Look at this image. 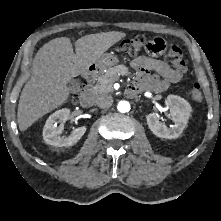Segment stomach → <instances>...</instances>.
<instances>
[{"instance_id": "obj_1", "label": "stomach", "mask_w": 221, "mask_h": 221, "mask_svg": "<svg viewBox=\"0 0 221 221\" xmlns=\"http://www.w3.org/2000/svg\"><path fill=\"white\" fill-rule=\"evenodd\" d=\"M118 61L119 60L116 55L112 53H105L96 61V66L100 70H104L116 65Z\"/></svg>"}]
</instances>
